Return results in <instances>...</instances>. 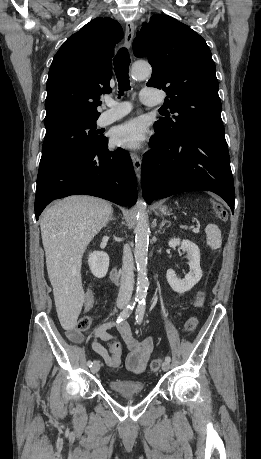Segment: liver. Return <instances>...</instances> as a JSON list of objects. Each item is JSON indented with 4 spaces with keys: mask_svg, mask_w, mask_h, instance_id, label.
Wrapping results in <instances>:
<instances>
[{
    "mask_svg": "<svg viewBox=\"0 0 261 459\" xmlns=\"http://www.w3.org/2000/svg\"><path fill=\"white\" fill-rule=\"evenodd\" d=\"M112 212L111 204L103 199L74 195L46 209L40 219L48 276L58 318L66 330L76 326L83 305V254Z\"/></svg>",
    "mask_w": 261,
    "mask_h": 459,
    "instance_id": "liver-1",
    "label": "liver"
}]
</instances>
